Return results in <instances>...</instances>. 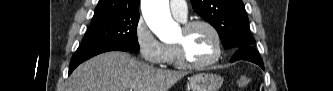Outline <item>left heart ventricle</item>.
<instances>
[{
	"label": "left heart ventricle",
	"instance_id": "1",
	"mask_svg": "<svg viewBox=\"0 0 333 91\" xmlns=\"http://www.w3.org/2000/svg\"><path fill=\"white\" fill-rule=\"evenodd\" d=\"M184 46L188 59L204 62L211 59L216 51V43L211 32L205 27H196L190 32L181 29L176 41Z\"/></svg>",
	"mask_w": 333,
	"mask_h": 91
}]
</instances>
